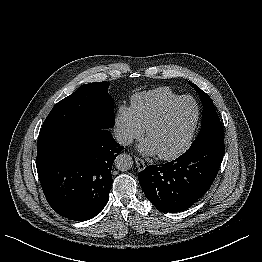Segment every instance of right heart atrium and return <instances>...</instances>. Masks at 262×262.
I'll use <instances>...</instances> for the list:
<instances>
[{"mask_svg":"<svg viewBox=\"0 0 262 262\" xmlns=\"http://www.w3.org/2000/svg\"><path fill=\"white\" fill-rule=\"evenodd\" d=\"M145 129L138 123L130 107L120 105L115 113L114 133L122 145H129L144 135Z\"/></svg>","mask_w":262,"mask_h":262,"instance_id":"right-heart-atrium-1","label":"right heart atrium"}]
</instances>
